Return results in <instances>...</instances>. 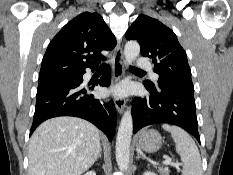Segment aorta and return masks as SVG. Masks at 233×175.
<instances>
[{
  "label": "aorta",
  "mask_w": 233,
  "mask_h": 175,
  "mask_svg": "<svg viewBox=\"0 0 233 175\" xmlns=\"http://www.w3.org/2000/svg\"><path fill=\"white\" fill-rule=\"evenodd\" d=\"M140 46L136 41H128L124 48L125 60L128 64L139 56ZM133 131V119L131 111L127 109L121 119L116 138V161L121 171L129 166L130 143Z\"/></svg>",
  "instance_id": "762f6f07"
}]
</instances>
